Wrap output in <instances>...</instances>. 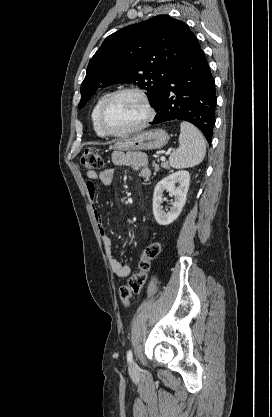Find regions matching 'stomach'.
<instances>
[{"mask_svg": "<svg viewBox=\"0 0 272 417\" xmlns=\"http://www.w3.org/2000/svg\"><path fill=\"white\" fill-rule=\"evenodd\" d=\"M168 141L169 135L165 130L151 129L120 141L113 148L120 150H155L163 148Z\"/></svg>", "mask_w": 272, "mask_h": 417, "instance_id": "obj_1", "label": "stomach"}]
</instances>
